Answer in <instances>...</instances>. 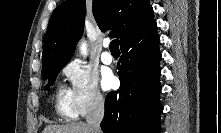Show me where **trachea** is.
Masks as SVG:
<instances>
[{"label": "trachea", "instance_id": "obj_1", "mask_svg": "<svg viewBox=\"0 0 221 133\" xmlns=\"http://www.w3.org/2000/svg\"><path fill=\"white\" fill-rule=\"evenodd\" d=\"M110 51L111 52H120L119 45H118V39L112 40L110 43Z\"/></svg>", "mask_w": 221, "mask_h": 133}]
</instances>
